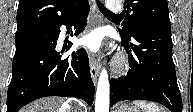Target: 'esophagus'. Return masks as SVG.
Segmentation results:
<instances>
[{"label": "esophagus", "mask_w": 193, "mask_h": 112, "mask_svg": "<svg viewBox=\"0 0 193 112\" xmlns=\"http://www.w3.org/2000/svg\"><path fill=\"white\" fill-rule=\"evenodd\" d=\"M91 13L93 16L97 15V6H96L95 1L91 2ZM90 72H91L92 80L94 84H96L98 74H99V65L94 56H90Z\"/></svg>", "instance_id": "esophagus-1"}]
</instances>
